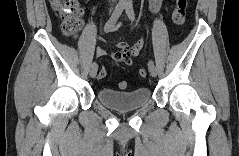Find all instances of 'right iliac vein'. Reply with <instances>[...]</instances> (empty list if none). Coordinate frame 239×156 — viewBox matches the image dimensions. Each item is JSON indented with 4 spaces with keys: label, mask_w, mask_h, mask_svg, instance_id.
<instances>
[{
    "label": "right iliac vein",
    "mask_w": 239,
    "mask_h": 156,
    "mask_svg": "<svg viewBox=\"0 0 239 156\" xmlns=\"http://www.w3.org/2000/svg\"><path fill=\"white\" fill-rule=\"evenodd\" d=\"M97 71H98V66H97V65L91 67L90 76H91L92 78H94V77L96 76V74H97Z\"/></svg>",
    "instance_id": "63e3f726"
}]
</instances>
